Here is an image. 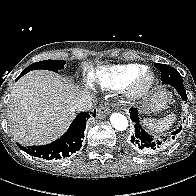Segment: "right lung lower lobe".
<instances>
[{"label":"right lung lower lobe","mask_w":196,"mask_h":196,"mask_svg":"<svg viewBox=\"0 0 196 196\" xmlns=\"http://www.w3.org/2000/svg\"><path fill=\"white\" fill-rule=\"evenodd\" d=\"M20 77L21 75H19L18 78ZM95 115L96 110L90 113H80L72 122L67 132L61 138L52 142L51 144L28 147L19 145V147L29 155L46 160L69 157L71 154L76 153L81 148L84 130L86 128V121L89 119V117H95Z\"/></svg>","instance_id":"obj_1"}]
</instances>
